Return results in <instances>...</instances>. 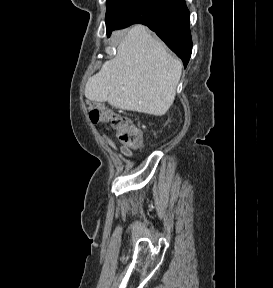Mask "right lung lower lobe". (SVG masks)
<instances>
[{
    "instance_id": "1",
    "label": "right lung lower lobe",
    "mask_w": 273,
    "mask_h": 288,
    "mask_svg": "<svg viewBox=\"0 0 273 288\" xmlns=\"http://www.w3.org/2000/svg\"><path fill=\"white\" fill-rule=\"evenodd\" d=\"M190 14L185 0H137L134 5L108 31L143 24L153 30L187 66L192 39L189 27Z\"/></svg>"
}]
</instances>
